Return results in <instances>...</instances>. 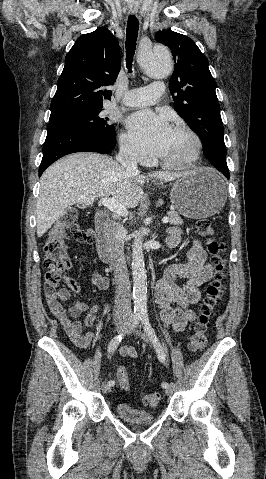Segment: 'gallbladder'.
Here are the masks:
<instances>
[{
  "mask_svg": "<svg viewBox=\"0 0 266 479\" xmlns=\"http://www.w3.org/2000/svg\"><path fill=\"white\" fill-rule=\"evenodd\" d=\"M77 207H78V208H84V205L77 204Z\"/></svg>",
  "mask_w": 266,
  "mask_h": 479,
  "instance_id": "1",
  "label": "gallbladder"
}]
</instances>
